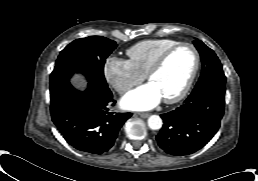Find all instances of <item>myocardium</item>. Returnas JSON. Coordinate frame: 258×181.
Segmentation results:
<instances>
[{"label": "myocardium", "mask_w": 258, "mask_h": 181, "mask_svg": "<svg viewBox=\"0 0 258 181\" xmlns=\"http://www.w3.org/2000/svg\"><path fill=\"white\" fill-rule=\"evenodd\" d=\"M182 47H189L193 51L194 56H195L194 68L192 70V73H191L186 85L177 95H175L173 97H169V98H163L164 102L167 104H174V103H177V102L181 101L182 99H184L187 96V94L190 92V90L195 82V79L199 72L200 63H201L200 54H199V51L197 50V48L195 47V45H193L192 43H189V42H179V43L171 46L158 57V59L154 62V64L151 66V68L149 69V71L146 75L147 79L150 81L152 79V77L154 75H156L162 69V67L168 60V58L175 51H177L178 49H180Z\"/></svg>", "instance_id": "1"}]
</instances>
